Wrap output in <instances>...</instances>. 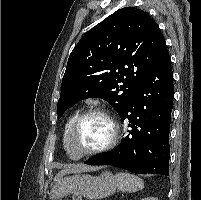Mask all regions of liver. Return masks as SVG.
I'll list each match as a JSON object with an SVG mask.
<instances>
[{
  "label": "liver",
  "instance_id": "obj_1",
  "mask_svg": "<svg viewBox=\"0 0 201 200\" xmlns=\"http://www.w3.org/2000/svg\"><path fill=\"white\" fill-rule=\"evenodd\" d=\"M90 169L91 168L85 167V166H82V165H74L72 167H68V168H65V169H62L61 171H59L56 174L54 180L57 181V180L61 179L66 174L80 173L82 171H87V170H90Z\"/></svg>",
  "mask_w": 201,
  "mask_h": 200
}]
</instances>
